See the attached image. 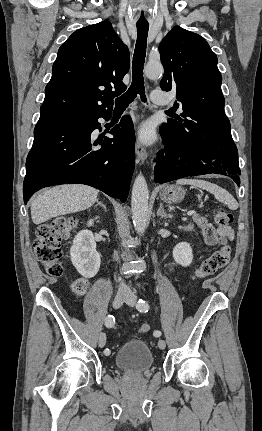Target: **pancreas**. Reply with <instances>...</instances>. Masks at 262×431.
<instances>
[{
  "instance_id": "obj_1",
  "label": "pancreas",
  "mask_w": 262,
  "mask_h": 431,
  "mask_svg": "<svg viewBox=\"0 0 262 431\" xmlns=\"http://www.w3.org/2000/svg\"><path fill=\"white\" fill-rule=\"evenodd\" d=\"M193 221L196 222V223L200 222L198 215H194L193 216Z\"/></svg>"
}]
</instances>
